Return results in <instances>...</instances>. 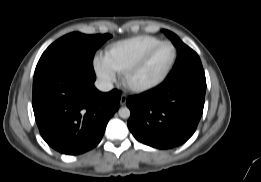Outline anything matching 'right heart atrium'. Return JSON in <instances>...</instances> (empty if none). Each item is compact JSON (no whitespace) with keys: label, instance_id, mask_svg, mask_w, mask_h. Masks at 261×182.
Listing matches in <instances>:
<instances>
[{"label":"right heart atrium","instance_id":"right-heart-atrium-1","mask_svg":"<svg viewBox=\"0 0 261 182\" xmlns=\"http://www.w3.org/2000/svg\"><path fill=\"white\" fill-rule=\"evenodd\" d=\"M95 71L99 78L106 85H110L116 81L117 73L109 63L106 56L96 55L93 61Z\"/></svg>","mask_w":261,"mask_h":182}]
</instances>
